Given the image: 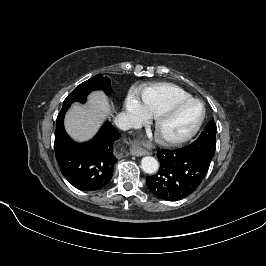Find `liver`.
Wrapping results in <instances>:
<instances>
[{
	"instance_id": "1",
	"label": "liver",
	"mask_w": 266,
	"mask_h": 266,
	"mask_svg": "<svg viewBox=\"0 0 266 266\" xmlns=\"http://www.w3.org/2000/svg\"><path fill=\"white\" fill-rule=\"evenodd\" d=\"M113 110L102 91L92 92L86 106L76 103L67 113L66 131L77 141L90 139Z\"/></svg>"
}]
</instances>
